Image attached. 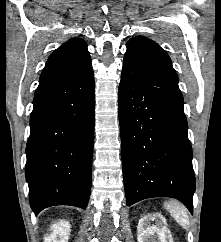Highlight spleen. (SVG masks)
Here are the masks:
<instances>
[{
  "instance_id": "1",
  "label": "spleen",
  "mask_w": 221,
  "mask_h": 242,
  "mask_svg": "<svg viewBox=\"0 0 221 242\" xmlns=\"http://www.w3.org/2000/svg\"><path fill=\"white\" fill-rule=\"evenodd\" d=\"M165 209L169 211L170 215L175 219V221L184 229H189V217L187 209L181 203L177 201H166L164 203Z\"/></svg>"
}]
</instances>
